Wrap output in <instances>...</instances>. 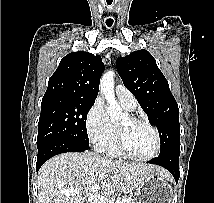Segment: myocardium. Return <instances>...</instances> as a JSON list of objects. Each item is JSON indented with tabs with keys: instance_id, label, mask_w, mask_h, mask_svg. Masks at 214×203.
Instances as JSON below:
<instances>
[{
	"instance_id": "obj_1",
	"label": "myocardium",
	"mask_w": 214,
	"mask_h": 203,
	"mask_svg": "<svg viewBox=\"0 0 214 203\" xmlns=\"http://www.w3.org/2000/svg\"><path fill=\"white\" fill-rule=\"evenodd\" d=\"M128 118L132 123L144 124L153 131V133L155 135V150L152 154L145 156V157H139V156L132 154L126 145L125 131L120 125H118L117 141H118V147H119L120 152L125 157H127L131 160L141 161V162L150 161V160L154 159L155 157H157L161 150V136H160L158 129L153 124H151L148 120H146L144 118H140V117H136V116H132V115L128 116Z\"/></svg>"
}]
</instances>
